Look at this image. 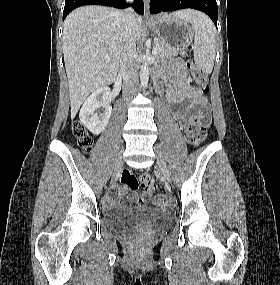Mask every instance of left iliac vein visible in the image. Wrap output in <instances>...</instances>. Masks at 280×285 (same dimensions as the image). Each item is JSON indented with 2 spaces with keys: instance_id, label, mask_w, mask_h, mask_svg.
<instances>
[{
  "instance_id": "obj_1",
  "label": "left iliac vein",
  "mask_w": 280,
  "mask_h": 285,
  "mask_svg": "<svg viewBox=\"0 0 280 285\" xmlns=\"http://www.w3.org/2000/svg\"><path fill=\"white\" fill-rule=\"evenodd\" d=\"M156 152V162H157V166L159 168V170L161 171L163 177L166 179L167 182L170 181V174L169 171L167 169L165 160L162 156V154L160 153V151L158 149H155Z\"/></svg>"
}]
</instances>
